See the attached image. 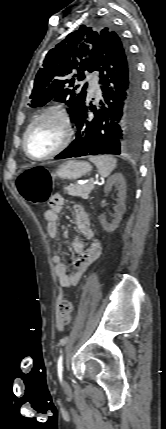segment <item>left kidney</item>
Instances as JSON below:
<instances>
[{
  "mask_svg": "<svg viewBox=\"0 0 166 429\" xmlns=\"http://www.w3.org/2000/svg\"><path fill=\"white\" fill-rule=\"evenodd\" d=\"M113 185H116L118 187V204L115 206V218L111 223H108L106 221V218L104 215L100 216V222L102 224L103 229L106 232H113L118 227L120 220L122 218V215L124 214L126 207H125V198H126V182L124 179V176L121 173L113 174L111 177L108 178L106 185H105V192H107Z\"/></svg>",
  "mask_w": 166,
  "mask_h": 429,
  "instance_id": "1",
  "label": "left kidney"
}]
</instances>
